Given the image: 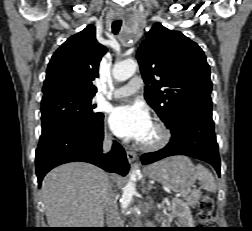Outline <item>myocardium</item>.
<instances>
[{
    "instance_id": "myocardium-1",
    "label": "myocardium",
    "mask_w": 252,
    "mask_h": 231,
    "mask_svg": "<svg viewBox=\"0 0 252 231\" xmlns=\"http://www.w3.org/2000/svg\"><path fill=\"white\" fill-rule=\"evenodd\" d=\"M153 126L158 130L159 137L155 142L152 143H140V148L145 151H157L164 148L171 140V131L161 121H155Z\"/></svg>"
}]
</instances>
